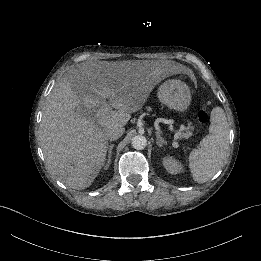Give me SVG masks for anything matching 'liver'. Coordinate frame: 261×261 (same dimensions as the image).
<instances>
[{
  "label": "liver",
  "mask_w": 261,
  "mask_h": 261,
  "mask_svg": "<svg viewBox=\"0 0 261 261\" xmlns=\"http://www.w3.org/2000/svg\"><path fill=\"white\" fill-rule=\"evenodd\" d=\"M161 67L90 63L69 69L48 95L40 122L49 172L72 189L89 187L106 160L107 132L143 107L162 80Z\"/></svg>",
  "instance_id": "1"
}]
</instances>
